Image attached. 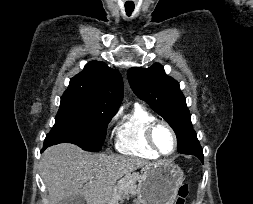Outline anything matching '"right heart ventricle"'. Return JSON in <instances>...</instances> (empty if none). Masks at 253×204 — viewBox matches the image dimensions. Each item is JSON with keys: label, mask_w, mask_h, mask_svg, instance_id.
I'll list each match as a JSON object with an SVG mask.
<instances>
[{"label": "right heart ventricle", "mask_w": 253, "mask_h": 204, "mask_svg": "<svg viewBox=\"0 0 253 204\" xmlns=\"http://www.w3.org/2000/svg\"><path fill=\"white\" fill-rule=\"evenodd\" d=\"M155 116L143 106L136 104L132 112L120 123L116 136V149L121 153L154 160L159 157L146 141L147 126Z\"/></svg>", "instance_id": "1"}]
</instances>
